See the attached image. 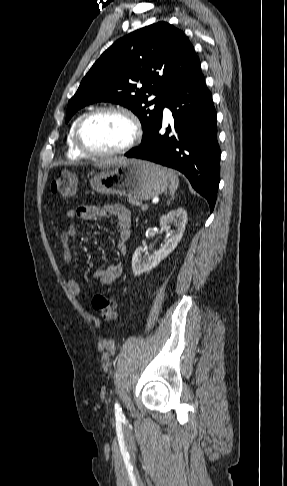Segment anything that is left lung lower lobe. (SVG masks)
<instances>
[{
    "label": "left lung lower lobe",
    "mask_w": 287,
    "mask_h": 486,
    "mask_svg": "<svg viewBox=\"0 0 287 486\" xmlns=\"http://www.w3.org/2000/svg\"><path fill=\"white\" fill-rule=\"evenodd\" d=\"M164 107L172 111L174 128L168 127L165 133L161 130V113L158 121L143 136L140 146L131 149L125 156L182 172L192 187L207 199L212 212L220 181V148L216 111L200 61L168 89Z\"/></svg>",
    "instance_id": "left-lung-lower-lobe-1"
}]
</instances>
